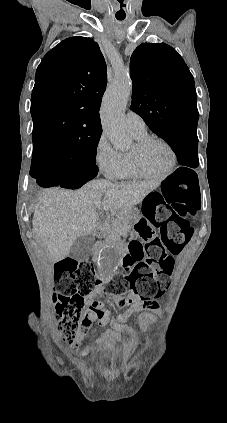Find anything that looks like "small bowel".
I'll list each match as a JSON object with an SVG mask.
<instances>
[{"label":"small bowel","mask_w":227,"mask_h":423,"mask_svg":"<svg viewBox=\"0 0 227 423\" xmlns=\"http://www.w3.org/2000/svg\"><path fill=\"white\" fill-rule=\"evenodd\" d=\"M140 222H146V219H142ZM104 294L105 292L102 286L98 285L86 297L88 309L82 319V326L88 329L95 321H97L100 326L110 324L111 329L107 330L103 337L99 340V342L105 341L108 347H112L114 343L120 341V332L132 333V331L125 326V322L133 313L144 308L157 309L160 307V303L156 300L143 301L133 293H129L126 296L121 297L113 296L115 303L119 307H128V309L121 314L112 316L109 309L101 301ZM87 350L88 348L85 349V352Z\"/></svg>","instance_id":"1"}]
</instances>
